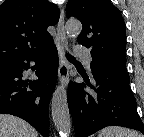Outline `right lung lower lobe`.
Segmentation results:
<instances>
[{
	"label": "right lung lower lobe",
	"instance_id": "1",
	"mask_svg": "<svg viewBox=\"0 0 144 137\" xmlns=\"http://www.w3.org/2000/svg\"><path fill=\"white\" fill-rule=\"evenodd\" d=\"M37 80H25L30 68ZM58 52L53 41L31 52L10 68L0 71V113L18 116L29 122L43 137H49L48 107L58 73Z\"/></svg>",
	"mask_w": 144,
	"mask_h": 137
}]
</instances>
